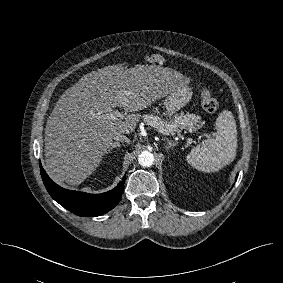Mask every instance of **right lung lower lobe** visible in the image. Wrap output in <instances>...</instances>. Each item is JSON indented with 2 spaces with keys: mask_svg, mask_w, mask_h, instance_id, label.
I'll return each instance as SVG.
<instances>
[{
  "mask_svg": "<svg viewBox=\"0 0 283 283\" xmlns=\"http://www.w3.org/2000/svg\"><path fill=\"white\" fill-rule=\"evenodd\" d=\"M40 168L43 183L51 197L64 208L79 216L95 217L112 210L119 203L124 192L125 177L108 192L88 194L60 187L49 178L41 163Z\"/></svg>",
  "mask_w": 283,
  "mask_h": 283,
  "instance_id": "1",
  "label": "right lung lower lobe"
}]
</instances>
